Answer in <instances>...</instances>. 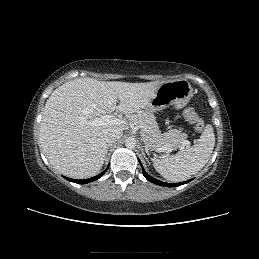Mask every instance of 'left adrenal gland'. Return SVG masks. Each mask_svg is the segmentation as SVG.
Masks as SVG:
<instances>
[{
    "mask_svg": "<svg viewBox=\"0 0 259 259\" xmlns=\"http://www.w3.org/2000/svg\"><path fill=\"white\" fill-rule=\"evenodd\" d=\"M142 154H143L144 158L146 159V161L148 162V164H150L148 158L145 156V153L143 151H142Z\"/></svg>",
    "mask_w": 259,
    "mask_h": 259,
    "instance_id": "obj_1",
    "label": "left adrenal gland"
}]
</instances>
